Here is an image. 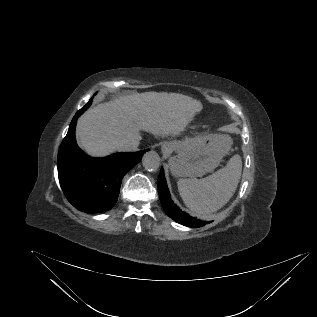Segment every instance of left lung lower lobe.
<instances>
[{
	"mask_svg": "<svg viewBox=\"0 0 317 317\" xmlns=\"http://www.w3.org/2000/svg\"><path fill=\"white\" fill-rule=\"evenodd\" d=\"M158 193L166 214L174 221L188 227H201L210 223L191 217L172 202L162 168L158 177Z\"/></svg>",
	"mask_w": 317,
	"mask_h": 317,
	"instance_id": "1",
	"label": "left lung lower lobe"
}]
</instances>
